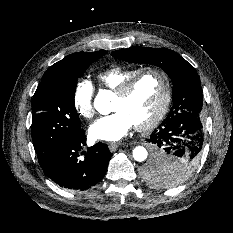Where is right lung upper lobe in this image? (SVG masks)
Wrapping results in <instances>:
<instances>
[{"instance_id":"right-lung-upper-lobe-1","label":"right lung upper lobe","mask_w":233,"mask_h":233,"mask_svg":"<svg viewBox=\"0 0 233 233\" xmlns=\"http://www.w3.org/2000/svg\"><path fill=\"white\" fill-rule=\"evenodd\" d=\"M84 53L86 52H78V53H73V54L66 56L62 60L52 65L44 74L46 75V74L56 72L68 65L75 63Z\"/></svg>"}]
</instances>
